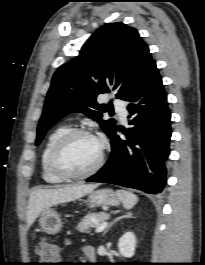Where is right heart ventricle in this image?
Returning a JSON list of instances; mask_svg holds the SVG:
<instances>
[{"label": "right heart ventricle", "instance_id": "obj_1", "mask_svg": "<svg viewBox=\"0 0 205 265\" xmlns=\"http://www.w3.org/2000/svg\"><path fill=\"white\" fill-rule=\"evenodd\" d=\"M68 125H60L52 130L45 141L42 154H41V175L43 180L49 184H59L63 182V179L57 177L49 168L48 157L51 148L55 142L69 130Z\"/></svg>", "mask_w": 205, "mask_h": 265}]
</instances>
